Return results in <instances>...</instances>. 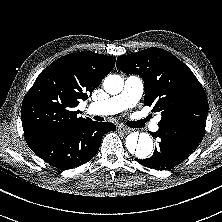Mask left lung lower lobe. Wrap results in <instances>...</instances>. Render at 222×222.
Wrapping results in <instances>:
<instances>
[{
	"mask_svg": "<svg viewBox=\"0 0 222 222\" xmlns=\"http://www.w3.org/2000/svg\"><path fill=\"white\" fill-rule=\"evenodd\" d=\"M154 132L160 138L159 147L147 159L138 160L141 165L157 169L170 170L183 162L202 141L205 127L187 122L158 123Z\"/></svg>",
	"mask_w": 222,
	"mask_h": 222,
	"instance_id": "obj_1",
	"label": "left lung lower lobe"
}]
</instances>
